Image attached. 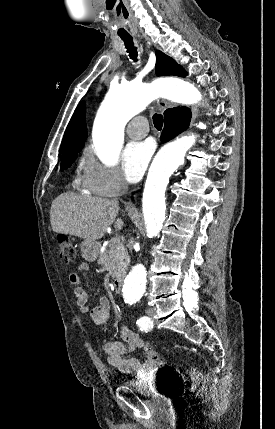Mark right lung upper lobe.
<instances>
[{"label": "right lung upper lobe", "mask_w": 275, "mask_h": 429, "mask_svg": "<svg viewBox=\"0 0 275 429\" xmlns=\"http://www.w3.org/2000/svg\"><path fill=\"white\" fill-rule=\"evenodd\" d=\"M87 138V128L85 123V106L84 103L76 108L63 137L61 145V158L77 154L84 146Z\"/></svg>", "instance_id": "cb5924a9"}]
</instances>
